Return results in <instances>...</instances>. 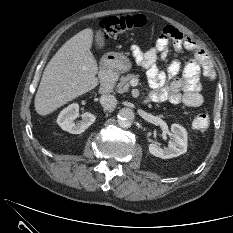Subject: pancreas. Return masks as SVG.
Returning a JSON list of instances; mask_svg holds the SVG:
<instances>
[{
    "mask_svg": "<svg viewBox=\"0 0 233 233\" xmlns=\"http://www.w3.org/2000/svg\"><path fill=\"white\" fill-rule=\"evenodd\" d=\"M139 75L136 74H127L126 76H122L120 81L116 85V91L118 93L127 92L130 87V80L138 79Z\"/></svg>",
    "mask_w": 233,
    "mask_h": 233,
    "instance_id": "pancreas-1",
    "label": "pancreas"
}]
</instances>
